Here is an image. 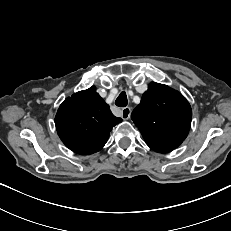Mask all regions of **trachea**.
Masks as SVG:
<instances>
[{"label":"trachea","mask_w":231,"mask_h":231,"mask_svg":"<svg viewBox=\"0 0 231 231\" xmlns=\"http://www.w3.org/2000/svg\"><path fill=\"white\" fill-rule=\"evenodd\" d=\"M127 95L126 93L123 91L119 94V96L117 97L115 104L118 107H126L127 106Z\"/></svg>","instance_id":"trachea-1"}]
</instances>
